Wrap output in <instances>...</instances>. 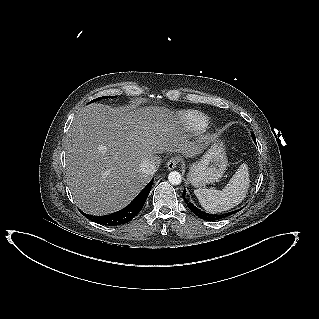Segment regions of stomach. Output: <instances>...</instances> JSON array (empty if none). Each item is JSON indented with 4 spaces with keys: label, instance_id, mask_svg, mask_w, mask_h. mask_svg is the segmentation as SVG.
<instances>
[{
    "label": "stomach",
    "instance_id": "1",
    "mask_svg": "<svg viewBox=\"0 0 319 319\" xmlns=\"http://www.w3.org/2000/svg\"><path fill=\"white\" fill-rule=\"evenodd\" d=\"M228 161L225 147L217 136H213L210 148L203 157L190 166L188 180L194 187L218 181L225 173Z\"/></svg>",
    "mask_w": 319,
    "mask_h": 319
}]
</instances>
